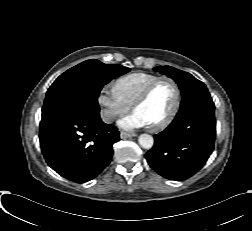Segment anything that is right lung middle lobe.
Segmentation results:
<instances>
[{"mask_svg": "<svg viewBox=\"0 0 252 231\" xmlns=\"http://www.w3.org/2000/svg\"><path fill=\"white\" fill-rule=\"evenodd\" d=\"M130 69L119 64L84 61L59 76L46 93L42 116L63 107L99 112L98 95L102 87Z\"/></svg>", "mask_w": 252, "mask_h": 231, "instance_id": "dd1d6c3e", "label": "right lung middle lobe"}]
</instances>
